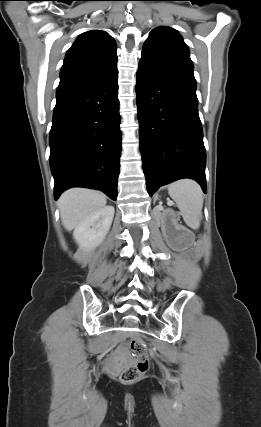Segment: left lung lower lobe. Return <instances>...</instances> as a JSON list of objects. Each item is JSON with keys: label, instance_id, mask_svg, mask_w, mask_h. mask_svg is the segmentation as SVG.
<instances>
[{"label": "left lung lower lobe", "instance_id": "0a47b994", "mask_svg": "<svg viewBox=\"0 0 261 427\" xmlns=\"http://www.w3.org/2000/svg\"><path fill=\"white\" fill-rule=\"evenodd\" d=\"M140 151L150 196L181 178L206 193V152L193 70L142 54L136 76Z\"/></svg>", "mask_w": 261, "mask_h": 427}]
</instances>
